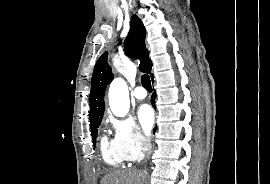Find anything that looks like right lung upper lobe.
<instances>
[{
	"mask_svg": "<svg viewBox=\"0 0 270 184\" xmlns=\"http://www.w3.org/2000/svg\"><path fill=\"white\" fill-rule=\"evenodd\" d=\"M130 30L124 41V49L128 56L139 59V68L142 72L151 73L152 62L149 59V52L145 47L146 30L142 21L137 15L131 17ZM108 52H104L96 62L92 79L90 102V125L101 121L104 110V93L106 86L112 81L111 67L107 63ZM153 78V75L151 74Z\"/></svg>",
	"mask_w": 270,
	"mask_h": 184,
	"instance_id": "cb5924a9",
	"label": "right lung upper lobe"
}]
</instances>
